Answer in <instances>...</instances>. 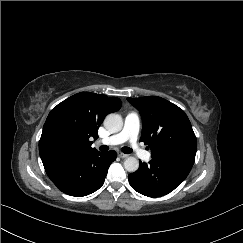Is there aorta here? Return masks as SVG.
<instances>
[{
	"instance_id": "1",
	"label": "aorta",
	"mask_w": 243,
	"mask_h": 243,
	"mask_svg": "<svg viewBox=\"0 0 243 243\" xmlns=\"http://www.w3.org/2000/svg\"><path fill=\"white\" fill-rule=\"evenodd\" d=\"M104 127L111 133L121 131L123 127L122 117L116 113L107 115L104 120ZM124 168L128 172H135L139 168V161L135 157H128L124 161Z\"/></svg>"
}]
</instances>
